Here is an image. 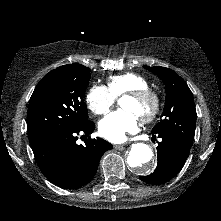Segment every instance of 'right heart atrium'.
<instances>
[{
  "label": "right heart atrium",
  "mask_w": 221,
  "mask_h": 221,
  "mask_svg": "<svg viewBox=\"0 0 221 221\" xmlns=\"http://www.w3.org/2000/svg\"><path fill=\"white\" fill-rule=\"evenodd\" d=\"M115 102V97L103 85L92 86L86 95V104L96 115L107 113Z\"/></svg>",
  "instance_id": "obj_1"
}]
</instances>
